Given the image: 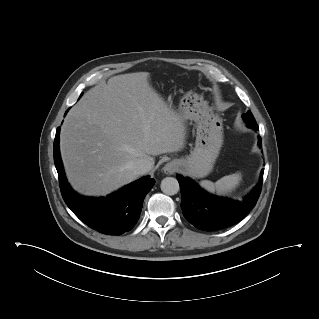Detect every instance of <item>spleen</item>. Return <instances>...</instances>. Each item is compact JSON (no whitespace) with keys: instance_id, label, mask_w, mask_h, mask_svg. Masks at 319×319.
<instances>
[{"instance_id":"obj_1","label":"spleen","mask_w":319,"mask_h":319,"mask_svg":"<svg viewBox=\"0 0 319 319\" xmlns=\"http://www.w3.org/2000/svg\"><path fill=\"white\" fill-rule=\"evenodd\" d=\"M242 179L241 173L237 172L228 176H224L215 183L209 180H203L200 182V186L210 193H217L218 195H224L235 189Z\"/></svg>"}]
</instances>
